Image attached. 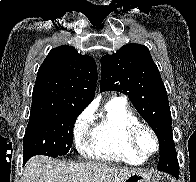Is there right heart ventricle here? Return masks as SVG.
I'll return each mask as SVG.
<instances>
[{"label":"right heart ventricle","instance_id":"obj_1","mask_svg":"<svg viewBox=\"0 0 196 182\" xmlns=\"http://www.w3.org/2000/svg\"><path fill=\"white\" fill-rule=\"evenodd\" d=\"M139 123L125 100L111 99L91 132L88 154L108 162L130 165L144 163L146 159L129 144V132Z\"/></svg>","mask_w":196,"mask_h":182}]
</instances>
